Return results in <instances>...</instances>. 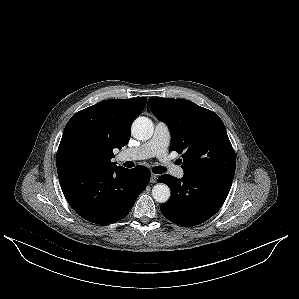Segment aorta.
Returning <instances> with one entry per match:
<instances>
[{"mask_svg":"<svg viewBox=\"0 0 299 299\" xmlns=\"http://www.w3.org/2000/svg\"><path fill=\"white\" fill-rule=\"evenodd\" d=\"M153 132V123L146 117H138L132 123L131 133L137 140H148L152 137ZM152 196L155 201L165 203L171 196L170 188L166 184L158 183L152 189Z\"/></svg>","mask_w":299,"mask_h":299,"instance_id":"aorta-1","label":"aorta"}]
</instances>
